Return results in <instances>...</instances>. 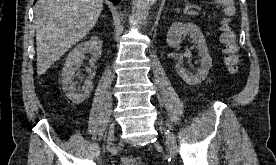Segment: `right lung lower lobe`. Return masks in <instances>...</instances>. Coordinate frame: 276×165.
Masks as SVG:
<instances>
[{
    "label": "right lung lower lobe",
    "mask_w": 276,
    "mask_h": 165,
    "mask_svg": "<svg viewBox=\"0 0 276 165\" xmlns=\"http://www.w3.org/2000/svg\"><path fill=\"white\" fill-rule=\"evenodd\" d=\"M111 2H113L114 4H118L121 0H110ZM36 2V0L34 1V3Z\"/></svg>",
    "instance_id": "1"
}]
</instances>
